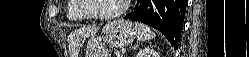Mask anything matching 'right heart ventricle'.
Here are the masks:
<instances>
[{
    "instance_id": "e07e8e85",
    "label": "right heart ventricle",
    "mask_w": 249,
    "mask_h": 57,
    "mask_svg": "<svg viewBox=\"0 0 249 57\" xmlns=\"http://www.w3.org/2000/svg\"><path fill=\"white\" fill-rule=\"evenodd\" d=\"M79 0H70L66 10V17L71 21L86 20L87 17L83 15L78 8Z\"/></svg>"
}]
</instances>
